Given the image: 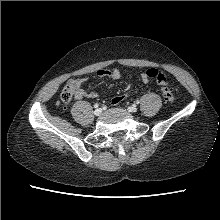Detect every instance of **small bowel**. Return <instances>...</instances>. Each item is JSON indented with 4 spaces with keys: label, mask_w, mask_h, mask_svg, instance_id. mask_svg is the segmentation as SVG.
<instances>
[{
    "label": "small bowel",
    "mask_w": 220,
    "mask_h": 220,
    "mask_svg": "<svg viewBox=\"0 0 220 220\" xmlns=\"http://www.w3.org/2000/svg\"><path fill=\"white\" fill-rule=\"evenodd\" d=\"M97 75L99 77H108L114 80H118L121 78V71L117 68L112 70L101 69L97 72ZM141 78L144 83L148 82V78L146 77L145 74H142ZM86 81H87L86 78H74L69 80L68 85L72 87L75 97L77 99H82L84 97H89V98L97 97V93L95 91H87L83 88ZM125 98L126 96L123 94L117 95L112 99V104L118 105L122 101H124Z\"/></svg>",
    "instance_id": "1"
}]
</instances>
